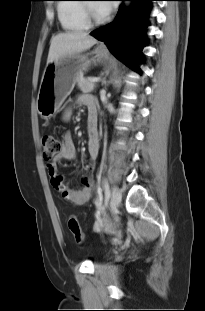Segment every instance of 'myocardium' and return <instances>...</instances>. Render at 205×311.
<instances>
[{"instance_id": "myocardium-1", "label": "myocardium", "mask_w": 205, "mask_h": 311, "mask_svg": "<svg viewBox=\"0 0 205 311\" xmlns=\"http://www.w3.org/2000/svg\"><path fill=\"white\" fill-rule=\"evenodd\" d=\"M82 7L88 26H98L104 22V17L96 15L91 4H83Z\"/></svg>"}]
</instances>
